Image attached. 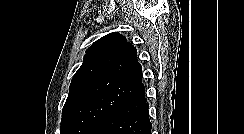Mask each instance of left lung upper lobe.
<instances>
[{
    "label": "left lung upper lobe",
    "mask_w": 244,
    "mask_h": 134,
    "mask_svg": "<svg viewBox=\"0 0 244 134\" xmlns=\"http://www.w3.org/2000/svg\"><path fill=\"white\" fill-rule=\"evenodd\" d=\"M136 48L117 32L93 43L72 78L60 134H95L119 107L144 94Z\"/></svg>",
    "instance_id": "1"
}]
</instances>
